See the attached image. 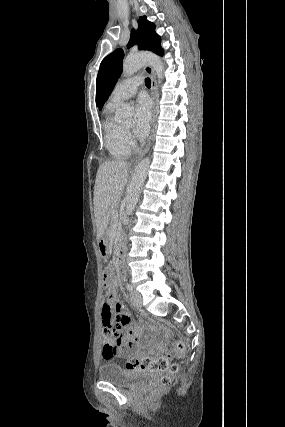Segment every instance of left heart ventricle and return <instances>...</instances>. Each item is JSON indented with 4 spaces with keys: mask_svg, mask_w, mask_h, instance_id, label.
<instances>
[{
    "mask_svg": "<svg viewBox=\"0 0 285 427\" xmlns=\"http://www.w3.org/2000/svg\"><path fill=\"white\" fill-rule=\"evenodd\" d=\"M124 125H125L126 127H130V126L132 125V123H131V122H126V123H124Z\"/></svg>",
    "mask_w": 285,
    "mask_h": 427,
    "instance_id": "1",
    "label": "left heart ventricle"
}]
</instances>
